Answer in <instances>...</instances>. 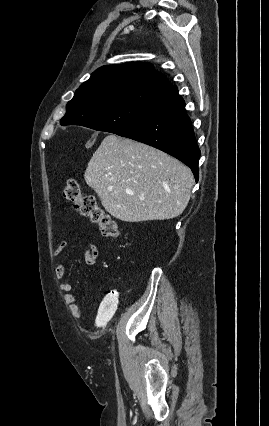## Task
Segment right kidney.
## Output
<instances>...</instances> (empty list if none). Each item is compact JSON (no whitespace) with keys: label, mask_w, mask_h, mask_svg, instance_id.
I'll list each match as a JSON object with an SVG mask.
<instances>
[{"label":"right kidney","mask_w":269,"mask_h":426,"mask_svg":"<svg viewBox=\"0 0 269 426\" xmlns=\"http://www.w3.org/2000/svg\"><path fill=\"white\" fill-rule=\"evenodd\" d=\"M110 291L112 294L115 295L118 293L119 290L117 287L114 286L111 288ZM112 294L107 295L99 307L98 315L96 318L97 327H104L107 322L112 318L117 309L118 299Z\"/></svg>","instance_id":"obj_1"}]
</instances>
